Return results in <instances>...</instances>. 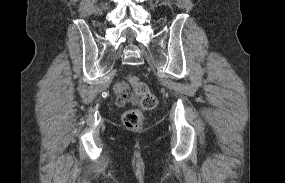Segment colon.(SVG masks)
<instances>
[{
    "mask_svg": "<svg viewBox=\"0 0 285 183\" xmlns=\"http://www.w3.org/2000/svg\"><path fill=\"white\" fill-rule=\"evenodd\" d=\"M127 81L132 86L134 97L139 100L142 110L150 111L154 109L157 104V98L150 91L149 87L133 74L128 75ZM122 120L127 128L138 130L142 128L145 118L141 110L129 109L123 113Z\"/></svg>",
    "mask_w": 285,
    "mask_h": 183,
    "instance_id": "1",
    "label": "colon"
}]
</instances>
